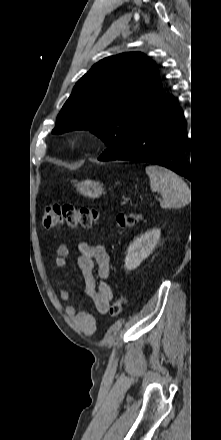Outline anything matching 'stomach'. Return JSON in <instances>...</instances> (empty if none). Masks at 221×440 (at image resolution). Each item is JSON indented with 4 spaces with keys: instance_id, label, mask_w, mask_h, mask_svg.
<instances>
[{
    "instance_id": "stomach-1",
    "label": "stomach",
    "mask_w": 221,
    "mask_h": 440,
    "mask_svg": "<svg viewBox=\"0 0 221 440\" xmlns=\"http://www.w3.org/2000/svg\"><path fill=\"white\" fill-rule=\"evenodd\" d=\"M77 191L87 197L96 198L104 193L103 185L97 181L90 179L78 182L76 184Z\"/></svg>"
}]
</instances>
